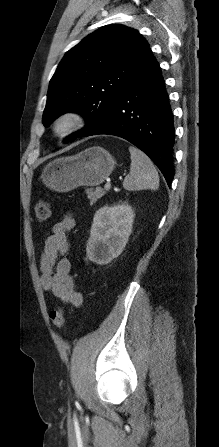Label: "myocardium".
Returning <instances> with one entry per match:
<instances>
[{"mask_svg":"<svg viewBox=\"0 0 219 447\" xmlns=\"http://www.w3.org/2000/svg\"><path fill=\"white\" fill-rule=\"evenodd\" d=\"M85 125V117L77 111H67L55 118L52 124V132L58 137H68Z\"/></svg>","mask_w":219,"mask_h":447,"instance_id":"obj_1","label":"myocardium"}]
</instances>
